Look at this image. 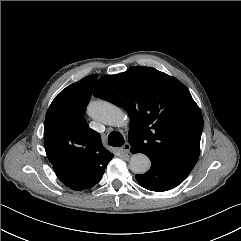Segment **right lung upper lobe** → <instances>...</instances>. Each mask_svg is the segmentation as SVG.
Returning <instances> with one entry per match:
<instances>
[{
  "mask_svg": "<svg viewBox=\"0 0 241 241\" xmlns=\"http://www.w3.org/2000/svg\"><path fill=\"white\" fill-rule=\"evenodd\" d=\"M97 75H90L62 90L45 118L44 146L52 165L72 163L105 167L113 154L105 149L100 134L87 125L83 113Z\"/></svg>",
  "mask_w": 241,
  "mask_h": 241,
  "instance_id": "right-lung-upper-lobe-1",
  "label": "right lung upper lobe"
}]
</instances>
